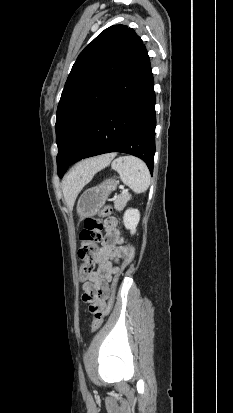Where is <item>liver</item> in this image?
I'll list each match as a JSON object with an SVG mask.
<instances>
[{"instance_id": "obj_1", "label": "liver", "mask_w": 233, "mask_h": 413, "mask_svg": "<svg viewBox=\"0 0 233 413\" xmlns=\"http://www.w3.org/2000/svg\"><path fill=\"white\" fill-rule=\"evenodd\" d=\"M115 154H105L85 160L76 165L62 182V190L69 209H72L75 199L82 188L93 176L114 158Z\"/></svg>"}]
</instances>
